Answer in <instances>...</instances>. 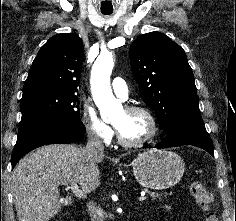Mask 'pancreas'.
Listing matches in <instances>:
<instances>
[{
    "label": "pancreas",
    "instance_id": "pancreas-1",
    "mask_svg": "<svg viewBox=\"0 0 236 221\" xmlns=\"http://www.w3.org/2000/svg\"><path fill=\"white\" fill-rule=\"evenodd\" d=\"M148 193L151 195L152 199L159 198V200H163V198L164 197L166 198V196H167V194L162 195V194H158V193H154V192H148Z\"/></svg>",
    "mask_w": 236,
    "mask_h": 221
}]
</instances>
